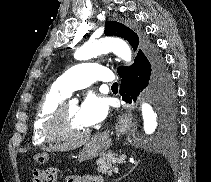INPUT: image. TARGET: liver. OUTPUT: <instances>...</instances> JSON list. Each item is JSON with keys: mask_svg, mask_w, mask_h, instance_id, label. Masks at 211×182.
Returning <instances> with one entry per match:
<instances>
[{"mask_svg": "<svg viewBox=\"0 0 211 182\" xmlns=\"http://www.w3.org/2000/svg\"><path fill=\"white\" fill-rule=\"evenodd\" d=\"M87 140L88 139H85V140H83L81 142H77V143H64V144L54 145V146L46 147V148H44V150L49 151V152L71 150V149H75V148L81 146Z\"/></svg>", "mask_w": 211, "mask_h": 182, "instance_id": "6515ba94", "label": "liver"}]
</instances>
